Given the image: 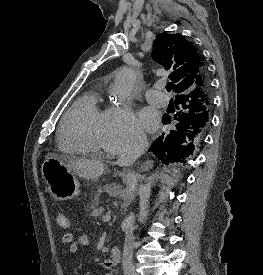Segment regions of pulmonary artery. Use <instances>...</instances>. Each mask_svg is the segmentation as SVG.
Instances as JSON below:
<instances>
[{
  "mask_svg": "<svg viewBox=\"0 0 263 275\" xmlns=\"http://www.w3.org/2000/svg\"><path fill=\"white\" fill-rule=\"evenodd\" d=\"M162 85L156 84L154 87L146 91V99L153 105L164 107L168 104L167 95L161 91Z\"/></svg>",
  "mask_w": 263,
  "mask_h": 275,
  "instance_id": "1",
  "label": "pulmonary artery"
}]
</instances>
